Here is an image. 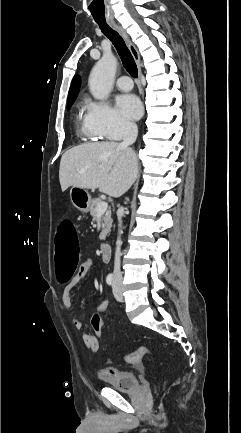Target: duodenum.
<instances>
[{
  "label": "duodenum",
  "mask_w": 241,
  "mask_h": 433,
  "mask_svg": "<svg viewBox=\"0 0 241 433\" xmlns=\"http://www.w3.org/2000/svg\"><path fill=\"white\" fill-rule=\"evenodd\" d=\"M100 253H101L102 260L104 262H108L111 258V245L108 243H103L100 246Z\"/></svg>",
  "instance_id": "duodenum-1"
}]
</instances>
